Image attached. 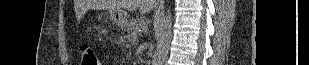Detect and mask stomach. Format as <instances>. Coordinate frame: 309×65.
<instances>
[{
    "mask_svg": "<svg viewBox=\"0 0 309 65\" xmlns=\"http://www.w3.org/2000/svg\"><path fill=\"white\" fill-rule=\"evenodd\" d=\"M111 19L120 26H126L128 24L127 21V13L123 10H112L110 12Z\"/></svg>",
    "mask_w": 309,
    "mask_h": 65,
    "instance_id": "1",
    "label": "stomach"
}]
</instances>
